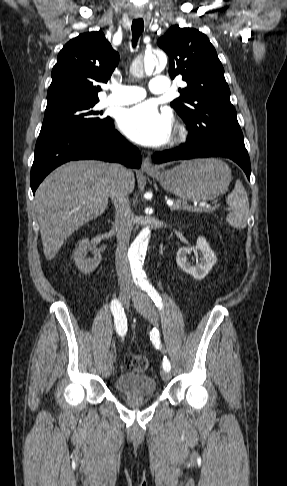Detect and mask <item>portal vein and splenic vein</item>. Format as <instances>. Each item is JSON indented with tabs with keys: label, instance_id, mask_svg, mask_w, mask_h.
I'll return each instance as SVG.
<instances>
[{
	"label": "portal vein and splenic vein",
	"instance_id": "obj_1",
	"mask_svg": "<svg viewBox=\"0 0 287 486\" xmlns=\"http://www.w3.org/2000/svg\"><path fill=\"white\" fill-rule=\"evenodd\" d=\"M167 205L171 208L174 207L173 201H167ZM176 207H179V205H176ZM210 204H201L198 207L196 206H184L185 210L192 211V212H204L205 209L210 208Z\"/></svg>",
	"mask_w": 287,
	"mask_h": 486
}]
</instances>
